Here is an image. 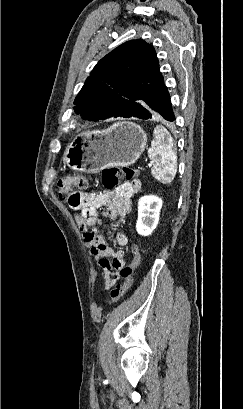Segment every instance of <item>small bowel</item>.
<instances>
[{"mask_svg": "<svg viewBox=\"0 0 243 409\" xmlns=\"http://www.w3.org/2000/svg\"><path fill=\"white\" fill-rule=\"evenodd\" d=\"M141 189V182L133 180L124 182L114 191H105L102 193L85 194L77 192L80 203L75 220L82 232L83 239L89 247V252L101 268V275L104 279V289L109 290L117 281L121 279L120 270L125 266V252L121 249H113L107 245L102 234L96 227L99 223L96 210L104 207L106 215L115 220L123 217L131 206L132 197ZM119 245L125 246L128 243V237L120 231L115 232Z\"/></svg>", "mask_w": 243, "mask_h": 409, "instance_id": "c3829d8e", "label": "small bowel"}]
</instances>
